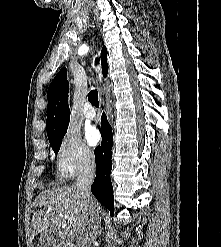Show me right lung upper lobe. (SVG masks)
I'll list each match as a JSON object with an SVG mask.
<instances>
[{"label": "right lung upper lobe", "instance_id": "right-lung-upper-lobe-1", "mask_svg": "<svg viewBox=\"0 0 221 247\" xmlns=\"http://www.w3.org/2000/svg\"><path fill=\"white\" fill-rule=\"evenodd\" d=\"M101 66L103 76L108 73L107 49L101 50ZM69 83L67 81L66 68L61 69L48 88V105L46 129L48 138L59 135L68 128L70 110L68 106Z\"/></svg>", "mask_w": 221, "mask_h": 247}]
</instances>
